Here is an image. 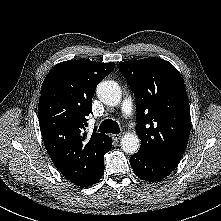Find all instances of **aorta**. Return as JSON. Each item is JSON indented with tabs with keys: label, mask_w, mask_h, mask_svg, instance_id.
Here are the masks:
<instances>
[{
	"label": "aorta",
	"mask_w": 221,
	"mask_h": 221,
	"mask_svg": "<svg viewBox=\"0 0 221 221\" xmlns=\"http://www.w3.org/2000/svg\"><path fill=\"white\" fill-rule=\"evenodd\" d=\"M96 94L100 101L108 106L118 105L122 97L120 86L112 80L100 82ZM120 143L122 150L127 154L136 153L140 147L139 137L135 133H126Z\"/></svg>",
	"instance_id": "obj_1"
}]
</instances>
